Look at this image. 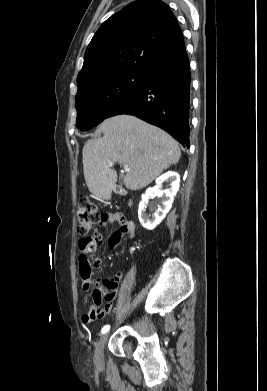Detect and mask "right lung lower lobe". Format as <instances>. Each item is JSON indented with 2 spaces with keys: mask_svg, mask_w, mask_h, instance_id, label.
Masks as SVG:
<instances>
[{
  "mask_svg": "<svg viewBox=\"0 0 267 391\" xmlns=\"http://www.w3.org/2000/svg\"><path fill=\"white\" fill-rule=\"evenodd\" d=\"M190 66L186 50L145 72L142 86L108 117L134 115L171 134L189 148Z\"/></svg>",
  "mask_w": 267,
  "mask_h": 391,
  "instance_id": "98d812e1",
  "label": "right lung lower lobe"
}]
</instances>
